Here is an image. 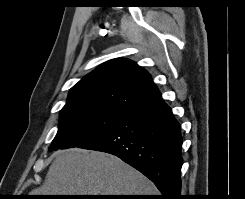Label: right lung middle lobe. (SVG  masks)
<instances>
[{"instance_id": "obj_1", "label": "right lung middle lobe", "mask_w": 245, "mask_h": 199, "mask_svg": "<svg viewBox=\"0 0 245 199\" xmlns=\"http://www.w3.org/2000/svg\"><path fill=\"white\" fill-rule=\"evenodd\" d=\"M126 116L92 105L64 108L60 111L58 132L49 149L79 147L104 134Z\"/></svg>"}]
</instances>
